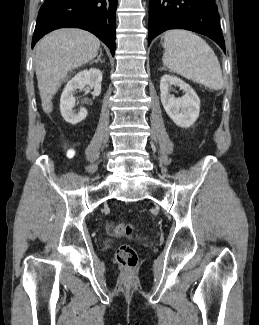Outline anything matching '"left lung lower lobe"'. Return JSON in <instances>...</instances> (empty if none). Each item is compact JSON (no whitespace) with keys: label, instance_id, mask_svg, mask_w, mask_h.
Wrapping results in <instances>:
<instances>
[{"label":"left lung lower lobe","instance_id":"0a47b994","mask_svg":"<svg viewBox=\"0 0 259 325\" xmlns=\"http://www.w3.org/2000/svg\"><path fill=\"white\" fill-rule=\"evenodd\" d=\"M169 29L201 33L225 51L215 0H150L148 44Z\"/></svg>","mask_w":259,"mask_h":325}]
</instances>
